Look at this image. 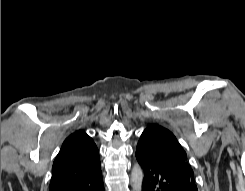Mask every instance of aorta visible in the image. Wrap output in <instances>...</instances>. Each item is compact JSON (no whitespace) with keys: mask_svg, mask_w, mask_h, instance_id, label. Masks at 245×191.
Here are the masks:
<instances>
[{"mask_svg":"<svg viewBox=\"0 0 245 191\" xmlns=\"http://www.w3.org/2000/svg\"><path fill=\"white\" fill-rule=\"evenodd\" d=\"M143 182V171L142 168L136 164L131 171V184L134 191H141Z\"/></svg>","mask_w":245,"mask_h":191,"instance_id":"1","label":"aorta"}]
</instances>
